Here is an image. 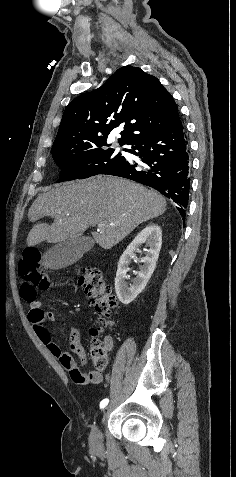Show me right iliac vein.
Wrapping results in <instances>:
<instances>
[{"mask_svg": "<svg viewBox=\"0 0 236 477\" xmlns=\"http://www.w3.org/2000/svg\"><path fill=\"white\" fill-rule=\"evenodd\" d=\"M101 416L103 417L102 421L108 416V408H103ZM90 447L93 452H101L103 450V436L99 426H96L92 429L89 437Z\"/></svg>", "mask_w": 236, "mask_h": 477, "instance_id": "obj_1", "label": "right iliac vein"}]
</instances>
